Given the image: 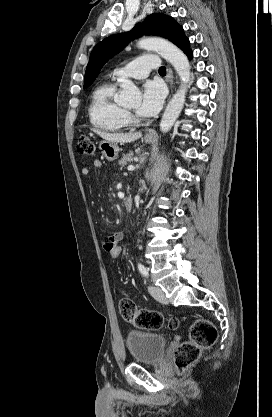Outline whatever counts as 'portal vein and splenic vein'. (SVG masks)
<instances>
[{
    "instance_id": "obj_1",
    "label": "portal vein and splenic vein",
    "mask_w": 272,
    "mask_h": 417,
    "mask_svg": "<svg viewBox=\"0 0 272 417\" xmlns=\"http://www.w3.org/2000/svg\"><path fill=\"white\" fill-rule=\"evenodd\" d=\"M129 171H133V170H135V167L134 166H132V165H130V166H128V168H127Z\"/></svg>"
}]
</instances>
